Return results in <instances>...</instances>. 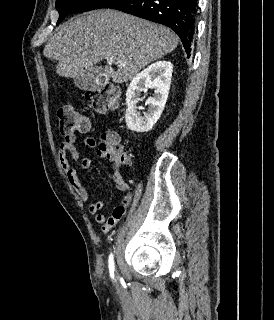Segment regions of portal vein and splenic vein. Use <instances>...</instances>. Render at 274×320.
Returning <instances> with one entry per match:
<instances>
[{"label": "portal vein and splenic vein", "instance_id": "1", "mask_svg": "<svg viewBox=\"0 0 274 320\" xmlns=\"http://www.w3.org/2000/svg\"><path fill=\"white\" fill-rule=\"evenodd\" d=\"M107 64H113V58H106ZM119 66H125V62H118Z\"/></svg>", "mask_w": 274, "mask_h": 320}]
</instances>
